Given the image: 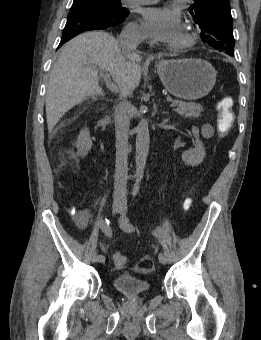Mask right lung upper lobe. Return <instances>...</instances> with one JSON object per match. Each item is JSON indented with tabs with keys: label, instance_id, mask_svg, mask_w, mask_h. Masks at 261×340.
Segmentation results:
<instances>
[{
	"label": "right lung upper lobe",
	"instance_id": "obj_1",
	"mask_svg": "<svg viewBox=\"0 0 261 340\" xmlns=\"http://www.w3.org/2000/svg\"><path fill=\"white\" fill-rule=\"evenodd\" d=\"M83 1H91V0H74V2H83Z\"/></svg>",
	"mask_w": 261,
	"mask_h": 340
}]
</instances>
